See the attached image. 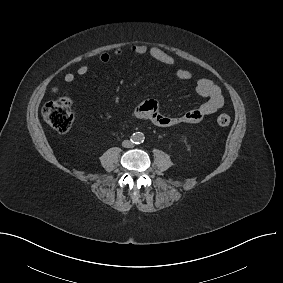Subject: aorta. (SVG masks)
<instances>
[{"label": "aorta", "mask_w": 283, "mask_h": 283, "mask_svg": "<svg viewBox=\"0 0 283 283\" xmlns=\"http://www.w3.org/2000/svg\"><path fill=\"white\" fill-rule=\"evenodd\" d=\"M132 140H133L135 143L143 142V140H144V135H143L142 133H140V132H137V133L133 134Z\"/></svg>", "instance_id": "obj_1"}]
</instances>
